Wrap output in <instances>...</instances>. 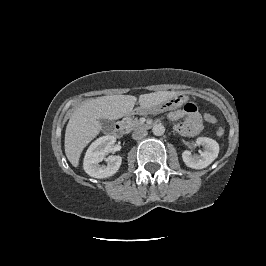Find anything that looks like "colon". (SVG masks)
<instances>
[{"label":"colon","mask_w":266,"mask_h":266,"mask_svg":"<svg viewBox=\"0 0 266 266\" xmlns=\"http://www.w3.org/2000/svg\"><path fill=\"white\" fill-rule=\"evenodd\" d=\"M204 119L209 124H214L217 121L216 117L210 113H206L204 115ZM216 133L218 136H222L224 134V129L219 127V128H217Z\"/></svg>","instance_id":"1"}]
</instances>
